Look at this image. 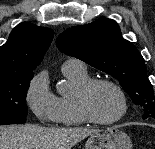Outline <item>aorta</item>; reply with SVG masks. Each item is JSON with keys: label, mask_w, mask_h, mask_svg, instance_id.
I'll use <instances>...</instances> for the list:
<instances>
[{"label": "aorta", "mask_w": 155, "mask_h": 149, "mask_svg": "<svg viewBox=\"0 0 155 149\" xmlns=\"http://www.w3.org/2000/svg\"><path fill=\"white\" fill-rule=\"evenodd\" d=\"M58 91H65V86L63 84L59 85V87L57 88Z\"/></svg>", "instance_id": "1"}]
</instances>
